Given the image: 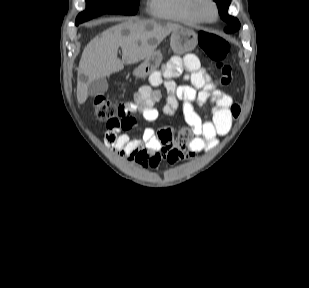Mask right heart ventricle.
Listing matches in <instances>:
<instances>
[{"label":"right heart ventricle","mask_w":309,"mask_h":288,"mask_svg":"<svg viewBox=\"0 0 309 288\" xmlns=\"http://www.w3.org/2000/svg\"><path fill=\"white\" fill-rule=\"evenodd\" d=\"M148 12L159 19L184 24H199L201 21L193 12V0H149Z\"/></svg>","instance_id":"1"}]
</instances>
